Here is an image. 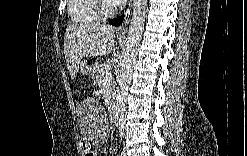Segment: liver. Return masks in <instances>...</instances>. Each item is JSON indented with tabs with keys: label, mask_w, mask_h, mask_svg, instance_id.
Masks as SVG:
<instances>
[{
	"label": "liver",
	"mask_w": 247,
	"mask_h": 156,
	"mask_svg": "<svg viewBox=\"0 0 247 156\" xmlns=\"http://www.w3.org/2000/svg\"><path fill=\"white\" fill-rule=\"evenodd\" d=\"M116 28L100 23L71 25L64 34V54L71 79L77 76L83 57L104 56L115 44Z\"/></svg>",
	"instance_id": "6515ba94"
}]
</instances>
